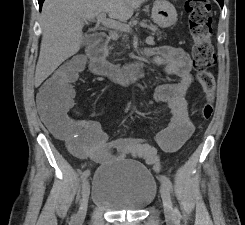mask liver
I'll return each mask as SVG.
<instances>
[{
  "label": "liver",
  "mask_w": 245,
  "mask_h": 225,
  "mask_svg": "<svg viewBox=\"0 0 245 225\" xmlns=\"http://www.w3.org/2000/svg\"><path fill=\"white\" fill-rule=\"evenodd\" d=\"M147 0H45L41 11L42 41L35 71L40 85L80 48L84 23L101 13L127 21Z\"/></svg>",
  "instance_id": "1"
}]
</instances>
